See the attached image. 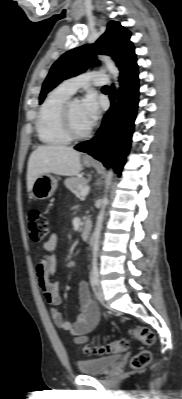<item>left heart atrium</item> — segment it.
I'll return each mask as SVG.
<instances>
[{"mask_svg": "<svg viewBox=\"0 0 182 399\" xmlns=\"http://www.w3.org/2000/svg\"><path fill=\"white\" fill-rule=\"evenodd\" d=\"M81 112L87 122L91 127L100 115L99 101L95 94L88 93L81 102Z\"/></svg>", "mask_w": 182, "mask_h": 399, "instance_id": "39dd6f15", "label": "left heart atrium"}]
</instances>
